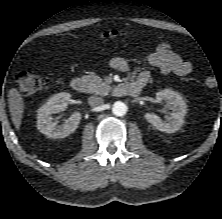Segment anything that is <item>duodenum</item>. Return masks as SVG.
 Instances as JSON below:
<instances>
[{
  "label": "duodenum",
  "instance_id": "duodenum-1",
  "mask_svg": "<svg viewBox=\"0 0 222 219\" xmlns=\"http://www.w3.org/2000/svg\"><path fill=\"white\" fill-rule=\"evenodd\" d=\"M71 87L78 93H83L87 90L88 84L85 78L75 77L71 80ZM142 84L133 82L130 84H119L114 88V93L118 96H136L141 92Z\"/></svg>",
  "mask_w": 222,
  "mask_h": 219
}]
</instances>
